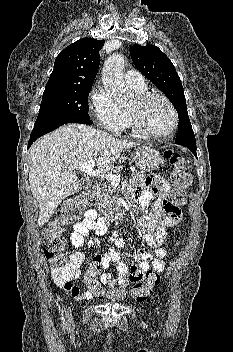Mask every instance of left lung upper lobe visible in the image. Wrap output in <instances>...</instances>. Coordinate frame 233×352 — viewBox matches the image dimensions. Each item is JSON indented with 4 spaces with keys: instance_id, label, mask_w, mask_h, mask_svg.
I'll use <instances>...</instances> for the list:
<instances>
[{
    "instance_id": "5c2ea615",
    "label": "left lung upper lobe",
    "mask_w": 233,
    "mask_h": 352,
    "mask_svg": "<svg viewBox=\"0 0 233 352\" xmlns=\"http://www.w3.org/2000/svg\"><path fill=\"white\" fill-rule=\"evenodd\" d=\"M130 55L135 67L170 100L179 117L176 144L196 145L180 78L170 59L155 45H134Z\"/></svg>"
}]
</instances>
